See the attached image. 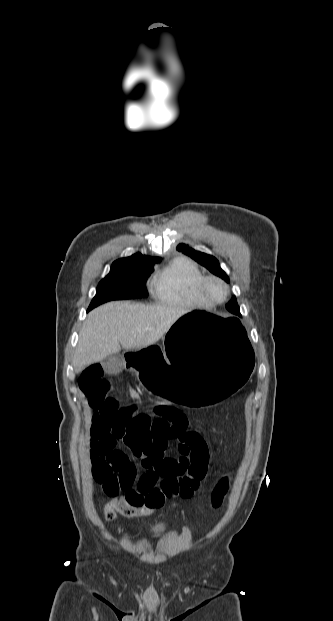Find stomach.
I'll list each match as a JSON object with an SVG mask.
<instances>
[{
    "label": "stomach",
    "mask_w": 333,
    "mask_h": 621,
    "mask_svg": "<svg viewBox=\"0 0 333 621\" xmlns=\"http://www.w3.org/2000/svg\"><path fill=\"white\" fill-rule=\"evenodd\" d=\"M124 358L147 395L174 403L177 411L198 412L214 411L246 388L255 352L238 318L194 310L182 314L163 340L128 349Z\"/></svg>",
    "instance_id": "obj_1"
}]
</instances>
